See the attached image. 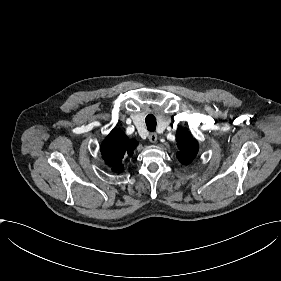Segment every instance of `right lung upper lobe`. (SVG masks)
<instances>
[{"label": "right lung upper lobe", "mask_w": 281, "mask_h": 281, "mask_svg": "<svg viewBox=\"0 0 281 281\" xmlns=\"http://www.w3.org/2000/svg\"><path fill=\"white\" fill-rule=\"evenodd\" d=\"M138 145L134 139H129L120 129L114 128L101 145L102 158L113 172H122L124 157H131Z\"/></svg>", "instance_id": "cb5924a9"}]
</instances>
